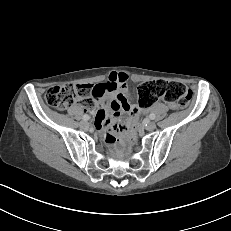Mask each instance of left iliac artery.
I'll list each match as a JSON object with an SVG mask.
<instances>
[{
  "label": "left iliac artery",
  "instance_id": "obj_1",
  "mask_svg": "<svg viewBox=\"0 0 231 231\" xmlns=\"http://www.w3.org/2000/svg\"><path fill=\"white\" fill-rule=\"evenodd\" d=\"M149 118H150L151 120H154V119H155V115H154V114H150V115H149Z\"/></svg>",
  "mask_w": 231,
  "mask_h": 231
}]
</instances>
